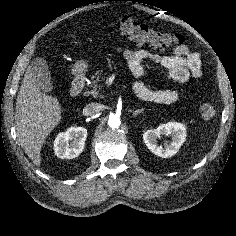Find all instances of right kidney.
<instances>
[{"instance_id":"right-kidney-1","label":"right kidney","mask_w":236,"mask_h":236,"mask_svg":"<svg viewBox=\"0 0 236 236\" xmlns=\"http://www.w3.org/2000/svg\"><path fill=\"white\" fill-rule=\"evenodd\" d=\"M87 129L84 127H70L66 132L59 133L54 140V151L61 159H73L84 149Z\"/></svg>"}]
</instances>
